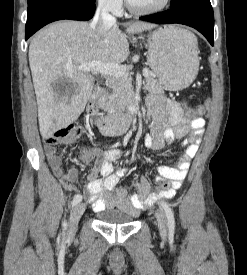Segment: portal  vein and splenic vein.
<instances>
[{
    "label": "portal vein and splenic vein",
    "mask_w": 247,
    "mask_h": 275,
    "mask_svg": "<svg viewBox=\"0 0 247 275\" xmlns=\"http://www.w3.org/2000/svg\"><path fill=\"white\" fill-rule=\"evenodd\" d=\"M66 69L68 71H73L74 69H78L79 71H85V72H97L102 75L114 76V77H123L124 75L127 74V69L123 65L102 63L99 61L86 63L78 66L77 68L66 66ZM143 76L144 77L149 76V71L147 69H143Z\"/></svg>",
    "instance_id": "18ae733b"
}]
</instances>
